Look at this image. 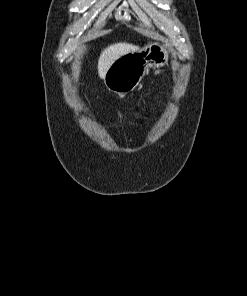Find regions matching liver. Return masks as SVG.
I'll return each mask as SVG.
<instances>
[{
  "mask_svg": "<svg viewBox=\"0 0 247 296\" xmlns=\"http://www.w3.org/2000/svg\"><path fill=\"white\" fill-rule=\"evenodd\" d=\"M139 49L138 46H135L133 44L120 42L115 43L107 48H105L98 59V75L100 78H104L106 72L110 68V66L114 63L115 60H117L119 57L130 53L137 51Z\"/></svg>",
  "mask_w": 247,
  "mask_h": 296,
  "instance_id": "6515ba94",
  "label": "liver"
}]
</instances>
